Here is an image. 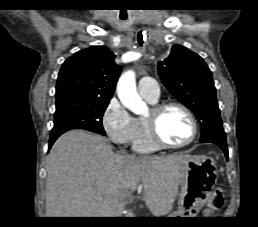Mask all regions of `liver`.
Masks as SVG:
<instances>
[{"instance_id":"1","label":"liver","mask_w":258,"mask_h":227,"mask_svg":"<svg viewBox=\"0 0 258 227\" xmlns=\"http://www.w3.org/2000/svg\"><path fill=\"white\" fill-rule=\"evenodd\" d=\"M190 158L115 154L105 137L71 130L47 157L46 215L119 217L140 184L150 212L166 215L178 195L180 166Z\"/></svg>"}]
</instances>
